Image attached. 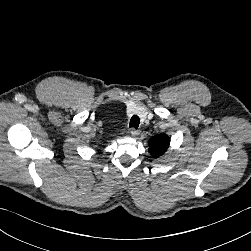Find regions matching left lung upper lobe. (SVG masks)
Here are the masks:
<instances>
[{"label":"left lung upper lobe","instance_id":"left-lung-upper-lobe-1","mask_svg":"<svg viewBox=\"0 0 251 251\" xmlns=\"http://www.w3.org/2000/svg\"><path fill=\"white\" fill-rule=\"evenodd\" d=\"M170 138L166 134L153 136L149 140V152L154 158L162 156L168 149Z\"/></svg>","mask_w":251,"mask_h":251}]
</instances>
